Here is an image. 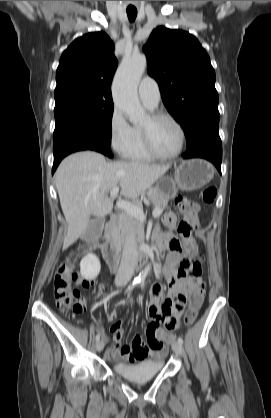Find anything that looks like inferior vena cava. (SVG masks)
Listing matches in <instances>:
<instances>
[{"label":"inferior vena cava","instance_id":"1","mask_svg":"<svg viewBox=\"0 0 271 418\" xmlns=\"http://www.w3.org/2000/svg\"><path fill=\"white\" fill-rule=\"evenodd\" d=\"M136 257L137 241L135 234L130 231L124 242L120 267L115 277L116 284H125L130 281L134 274Z\"/></svg>","mask_w":271,"mask_h":418}]
</instances>
